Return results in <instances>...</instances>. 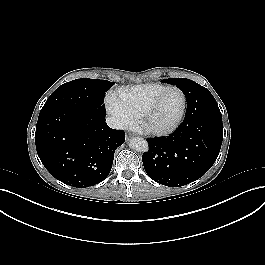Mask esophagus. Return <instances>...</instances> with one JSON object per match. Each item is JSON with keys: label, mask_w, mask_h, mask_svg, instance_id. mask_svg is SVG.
I'll use <instances>...</instances> for the list:
<instances>
[{"label": "esophagus", "mask_w": 265, "mask_h": 265, "mask_svg": "<svg viewBox=\"0 0 265 265\" xmlns=\"http://www.w3.org/2000/svg\"><path fill=\"white\" fill-rule=\"evenodd\" d=\"M129 136H130V137H131V136H135V134H133V133H130V134H129Z\"/></svg>", "instance_id": "34e87169"}]
</instances>
